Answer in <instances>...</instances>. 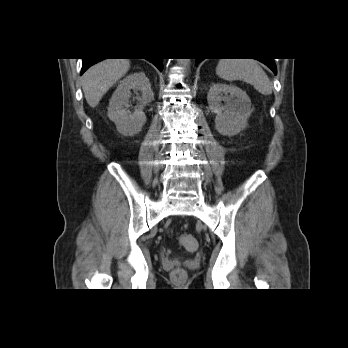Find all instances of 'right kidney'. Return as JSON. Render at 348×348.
<instances>
[{
    "label": "right kidney",
    "instance_id": "obj_1",
    "mask_svg": "<svg viewBox=\"0 0 348 348\" xmlns=\"http://www.w3.org/2000/svg\"><path fill=\"white\" fill-rule=\"evenodd\" d=\"M131 90L137 95L138 105L134 113L128 108ZM154 99L149 79L143 72H136L126 76L118 85L112 95L108 107V117L112 120L119 133L125 136H133L139 133L146 122V116L143 112L144 106Z\"/></svg>",
    "mask_w": 348,
    "mask_h": 348
}]
</instances>
